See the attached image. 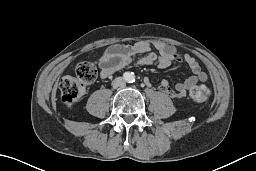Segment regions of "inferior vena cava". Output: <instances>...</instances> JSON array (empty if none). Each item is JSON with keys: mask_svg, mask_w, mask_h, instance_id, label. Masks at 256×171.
Returning <instances> with one entry per match:
<instances>
[{"mask_svg": "<svg viewBox=\"0 0 256 171\" xmlns=\"http://www.w3.org/2000/svg\"><path fill=\"white\" fill-rule=\"evenodd\" d=\"M125 84L126 82L122 77H117L112 81V86L114 89L123 88L125 87Z\"/></svg>", "mask_w": 256, "mask_h": 171, "instance_id": "inferior-vena-cava-1", "label": "inferior vena cava"}]
</instances>
